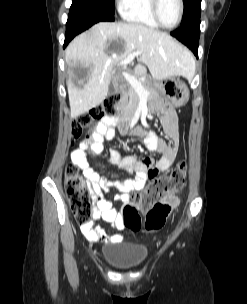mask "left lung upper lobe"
<instances>
[{
    "label": "left lung upper lobe",
    "mask_w": 247,
    "mask_h": 304,
    "mask_svg": "<svg viewBox=\"0 0 247 304\" xmlns=\"http://www.w3.org/2000/svg\"><path fill=\"white\" fill-rule=\"evenodd\" d=\"M184 12L181 26L200 19L201 0H183Z\"/></svg>",
    "instance_id": "5c2ea615"
}]
</instances>
